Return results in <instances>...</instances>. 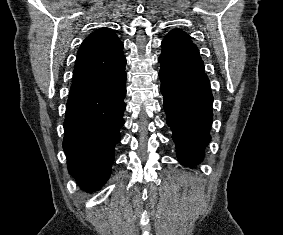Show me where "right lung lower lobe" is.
<instances>
[{
  "label": "right lung lower lobe",
  "mask_w": 283,
  "mask_h": 235,
  "mask_svg": "<svg viewBox=\"0 0 283 235\" xmlns=\"http://www.w3.org/2000/svg\"><path fill=\"white\" fill-rule=\"evenodd\" d=\"M126 73L71 88L63 148L68 170L83 189L95 191L109 178L120 141Z\"/></svg>",
  "instance_id": "right-lung-lower-lobe-1"
}]
</instances>
